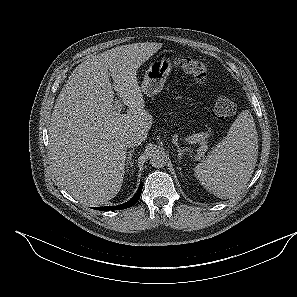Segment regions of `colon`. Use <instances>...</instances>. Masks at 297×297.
I'll return each instance as SVG.
<instances>
[{"instance_id":"1","label":"colon","mask_w":297,"mask_h":297,"mask_svg":"<svg viewBox=\"0 0 297 297\" xmlns=\"http://www.w3.org/2000/svg\"><path fill=\"white\" fill-rule=\"evenodd\" d=\"M174 63L179 69L191 77L193 80L203 82L207 78V65L194 58L178 57L174 60ZM236 110V104L233 99L228 95H220L213 107V116L222 120L234 114Z\"/></svg>"}]
</instances>
